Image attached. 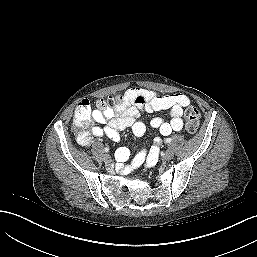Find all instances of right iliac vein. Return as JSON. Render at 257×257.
Listing matches in <instances>:
<instances>
[{
    "mask_svg": "<svg viewBox=\"0 0 257 257\" xmlns=\"http://www.w3.org/2000/svg\"><path fill=\"white\" fill-rule=\"evenodd\" d=\"M104 161H105L106 163H111L112 159H111V157H110L109 154H105V155H104Z\"/></svg>",
    "mask_w": 257,
    "mask_h": 257,
    "instance_id": "obj_1",
    "label": "right iliac vein"
}]
</instances>
